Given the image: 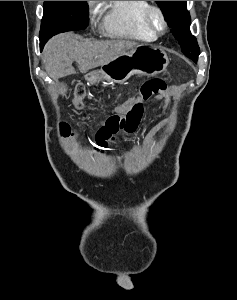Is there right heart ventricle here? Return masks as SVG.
Returning <instances> with one entry per match:
<instances>
[{"mask_svg": "<svg viewBox=\"0 0 237 300\" xmlns=\"http://www.w3.org/2000/svg\"><path fill=\"white\" fill-rule=\"evenodd\" d=\"M148 5V1H108L101 20L102 30L110 36L152 39L144 19Z\"/></svg>", "mask_w": 237, "mask_h": 300, "instance_id": "1", "label": "right heart ventricle"}]
</instances>
